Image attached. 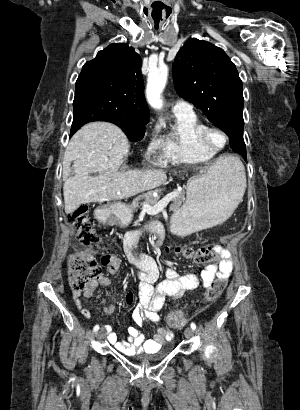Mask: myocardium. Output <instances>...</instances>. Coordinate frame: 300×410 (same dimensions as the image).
<instances>
[{
  "instance_id": "f54148a6",
  "label": "myocardium",
  "mask_w": 300,
  "mask_h": 410,
  "mask_svg": "<svg viewBox=\"0 0 300 410\" xmlns=\"http://www.w3.org/2000/svg\"><path fill=\"white\" fill-rule=\"evenodd\" d=\"M212 131H217V132H219L220 134L223 135L225 141H224V144L222 146L215 147L211 144V142L209 140V134ZM200 141H201L203 147L218 153V152L224 150L227 147V145L229 144V141H230V137H229L228 133L222 127H220L218 125H206L200 133Z\"/></svg>"
}]
</instances>
